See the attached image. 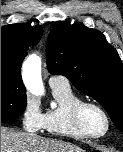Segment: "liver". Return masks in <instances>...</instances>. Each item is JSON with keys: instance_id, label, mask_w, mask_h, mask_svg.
<instances>
[{"instance_id": "liver-1", "label": "liver", "mask_w": 123, "mask_h": 152, "mask_svg": "<svg viewBox=\"0 0 123 152\" xmlns=\"http://www.w3.org/2000/svg\"><path fill=\"white\" fill-rule=\"evenodd\" d=\"M1 152H83L71 143L1 128Z\"/></svg>"}]
</instances>
